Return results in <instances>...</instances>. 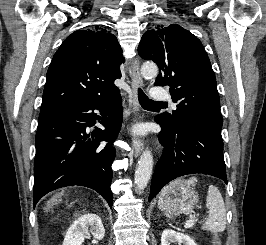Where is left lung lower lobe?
<instances>
[{"label":"left lung lower lobe","instance_id":"obj_1","mask_svg":"<svg viewBox=\"0 0 266 245\" xmlns=\"http://www.w3.org/2000/svg\"><path fill=\"white\" fill-rule=\"evenodd\" d=\"M158 135L164 153L155 167L149 201L171 180L194 173L208 174L227 184L221 129L194 120H182L175 129L161 119Z\"/></svg>","mask_w":266,"mask_h":245}]
</instances>
